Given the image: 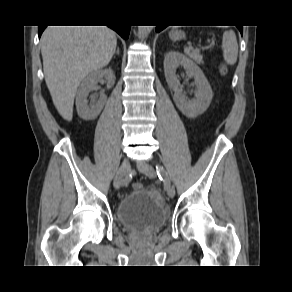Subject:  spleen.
<instances>
[{"label": "spleen", "instance_id": "1", "mask_svg": "<svg viewBox=\"0 0 292 292\" xmlns=\"http://www.w3.org/2000/svg\"><path fill=\"white\" fill-rule=\"evenodd\" d=\"M222 49L224 60L230 65L235 64L238 56V44L233 31H226L223 34Z\"/></svg>", "mask_w": 292, "mask_h": 292}]
</instances>
